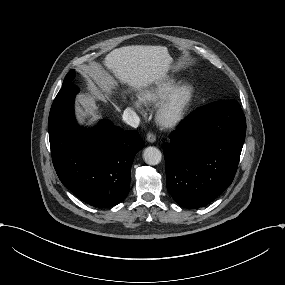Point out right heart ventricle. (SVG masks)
I'll return each instance as SVG.
<instances>
[{
    "label": "right heart ventricle",
    "mask_w": 285,
    "mask_h": 285,
    "mask_svg": "<svg viewBox=\"0 0 285 285\" xmlns=\"http://www.w3.org/2000/svg\"><path fill=\"white\" fill-rule=\"evenodd\" d=\"M179 83L180 80L178 78H160L141 90L139 93V98L142 102L148 105H157Z\"/></svg>",
    "instance_id": "e07e8e85"
}]
</instances>
